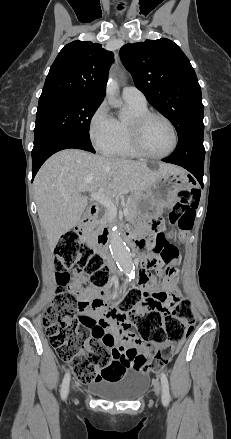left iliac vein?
Returning <instances> with one entry per match:
<instances>
[{
    "mask_svg": "<svg viewBox=\"0 0 231 439\" xmlns=\"http://www.w3.org/2000/svg\"><path fill=\"white\" fill-rule=\"evenodd\" d=\"M154 392H155L156 396H159L161 393V387H160V384L158 381H156L154 383Z\"/></svg>",
    "mask_w": 231,
    "mask_h": 439,
    "instance_id": "1",
    "label": "left iliac vein"
}]
</instances>
